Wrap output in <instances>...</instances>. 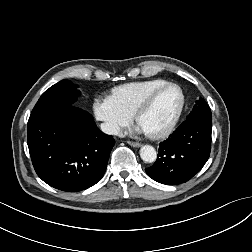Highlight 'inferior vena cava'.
I'll return each instance as SVG.
<instances>
[{"label": "inferior vena cava", "instance_id": "602c4592", "mask_svg": "<svg viewBox=\"0 0 252 252\" xmlns=\"http://www.w3.org/2000/svg\"><path fill=\"white\" fill-rule=\"evenodd\" d=\"M100 127H101V130L105 134H109V135H121L122 134L119 126L112 124V123H102Z\"/></svg>", "mask_w": 252, "mask_h": 252}]
</instances>
